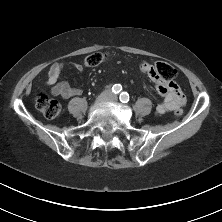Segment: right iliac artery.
<instances>
[{
	"instance_id": "obj_1",
	"label": "right iliac artery",
	"mask_w": 222,
	"mask_h": 222,
	"mask_svg": "<svg viewBox=\"0 0 222 222\" xmlns=\"http://www.w3.org/2000/svg\"><path fill=\"white\" fill-rule=\"evenodd\" d=\"M122 90V86L120 84H115L112 87V92L118 94Z\"/></svg>"
}]
</instances>
